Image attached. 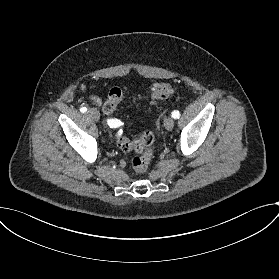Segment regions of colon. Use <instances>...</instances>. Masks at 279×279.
I'll list each match as a JSON object with an SVG mask.
<instances>
[{
	"mask_svg": "<svg viewBox=\"0 0 279 279\" xmlns=\"http://www.w3.org/2000/svg\"><path fill=\"white\" fill-rule=\"evenodd\" d=\"M176 91V87L169 82H161L154 84L146 99L149 100V107H154L172 96ZM125 98V92L118 87L111 88L107 94V98L103 105V111L106 115H111L115 112L118 103ZM154 135L151 131L144 132L140 137L129 138L122 136L119 139L118 145L122 152L128 153L136 151L139 155L132 160V169L137 174L147 172L153 157Z\"/></svg>",
	"mask_w": 279,
	"mask_h": 279,
	"instance_id": "5ec220e1",
	"label": "colon"
}]
</instances>
